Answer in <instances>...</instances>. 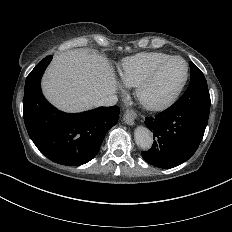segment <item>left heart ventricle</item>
<instances>
[{
  "label": "left heart ventricle",
  "mask_w": 232,
  "mask_h": 232,
  "mask_svg": "<svg viewBox=\"0 0 232 232\" xmlns=\"http://www.w3.org/2000/svg\"><path fill=\"white\" fill-rule=\"evenodd\" d=\"M186 66L182 61H172L146 85L141 94V101L155 105L166 100L182 83Z\"/></svg>",
  "instance_id": "b2bd125f"
}]
</instances>
